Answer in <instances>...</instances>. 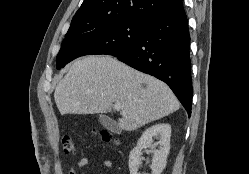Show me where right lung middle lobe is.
<instances>
[{
  "label": "right lung middle lobe",
  "instance_id": "dd1d6c3e",
  "mask_svg": "<svg viewBox=\"0 0 249 174\" xmlns=\"http://www.w3.org/2000/svg\"><path fill=\"white\" fill-rule=\"evenodd\" d=\"M145 23L143 20L121 19L68 31L56 58L57 69L81 56L124 51L141 37Z\"/></svg>",
  "mask_w": 249,
  "mask_h": 174
}]
</instances>
